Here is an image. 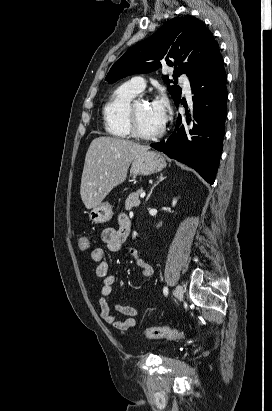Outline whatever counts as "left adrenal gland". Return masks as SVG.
<instances>
[{"label":"left adrenal gland","mask_w":272,"mask_h":411,"mask_svg":"<svg viewBox=\"0 0 272 411\" xmlns=\"http://www.w3.org/2000/svg\"><path fill=\"white\" fill-rule=\"evenodd\" d=\"M165 178H166V177H164L163 174H160V177H159L158 181L152 186V188H151V190H150V192H149V194H148V196H147V198H146V201H148V199L150 198V196H151L154 188H155L162 180H164Z\"/></svg>","instance_id":"a2214340"}]
</instances>
